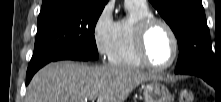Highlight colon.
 Segmentation results:
<instances>
[{"instance_id":"1","label":"colon","mask_w":221,"mask_h":102,"mask_svg":"<svg viewBox=\"0 0 221 102\" xmlns=\"http://www.w3.org/2000/svg\"><path fill=\"white\" fill-rule=\"evenodd\" d=\"M193 101H194V96L190 90L185 89L180 93L179 102H193Z\"/></svg>"}]
</instances>
